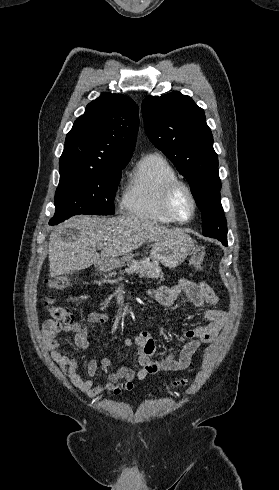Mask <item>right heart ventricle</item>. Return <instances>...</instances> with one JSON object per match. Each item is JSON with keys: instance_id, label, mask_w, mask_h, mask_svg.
Here are the masks:
<instances>
[{"instance_id": "right-heart-ventricle-1", "label": "right heart ventricle", "mask_w": 279, "mask_h": 490, "mask_svg": "<svg viewBox=\"0 0 279 490\" xmlns=\"http://www.w3.org/2000/svg\"><path fill=\"white\" fill-rule=\"evenodd\" d=\"M178 178L174 168L161 154L144 156L125 195L127 212L135 218L156 224H176L165 211L164 194L168 185Z\"/></svg>"}]
</instances>
